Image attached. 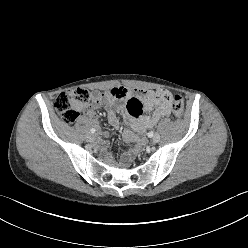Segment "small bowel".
<instances>
[{
  "label": "small bowel",
  "instance_id": "small-bowel-1",
  "mask_svg": "<svg viewBox=\"0 0 248 248\" xmlns=\"http://www.w3.org/2000/svg\"><path fill=\"white\" fill-rule=\"evenodd\" d=\"M119 102H126L124 116L136 132H143L155 125L163 116L171 113V100L162 96V91L130 89L126 87H114L109 93L94 94L93 105L87 110V114L93 115L94 108L108 106V120L115 129L119 127L115 107ZM153 112L150 116L143 115V112ZM128 138H134L132 132H127ZM101 148H105L107 141L104 137L97 140ZM140 144L141 141L139 140ZM126 158L130 157L128 153Z\"/></svg>",
  "mask_w": 248,
  "mask_h": 248
}]
</instances>
